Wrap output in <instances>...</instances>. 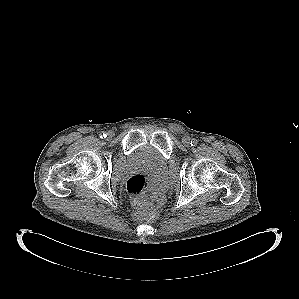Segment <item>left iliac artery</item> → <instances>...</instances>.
<instances>
[{"label": "left iliac artery", "instance_id": "left-iliac-artery-1", "mask_svg": "<svg viewBox=\"0 0 299 299\" xmlns=\"http://www.w3.org/2000/svg\"><path fill=\"white\" fill-rule=\"evenodd\" d=\"M190 144L192 146H196L197 145V140L196 139H192Z\"/></svg>", "mask_w": 299, "mask_h": 299}]
</instances>
